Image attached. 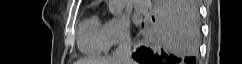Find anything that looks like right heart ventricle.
<instances>
[{
  "label": "right heart ventricle",
  "instance_id": "right-heart-ventricle-1",
  "mask_svg": "<svg viewBox=\"0 0 242 64\" xmlns=\"http://www.w3.org/2000/svg\"><path fill=\"white\" fill-rule=\"evenodd\" d=\"M79 50L88 56H97L108 51L110 45L105 32V24L97 14H92L79 25L77 32Z\"/></svg>",
  "mask_w": 242,
  "mask_h": 64
}]
</instances>
